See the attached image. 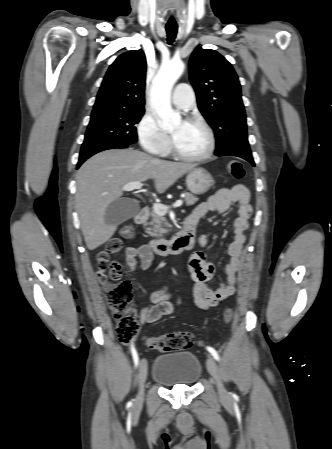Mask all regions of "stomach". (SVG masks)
Returning <instances> with one entry per match:
<instances>
[{"label": "stomach", "instance_id": "1", "mask_svg": "<svg viewBox=\"0 0 332 449\" xmlns=\"http://www.w3.org/2000/svg\"><path fill=\"white\" fill-rule=\"evenodd\" d=\"M187 188L193 194L201 195L206 193L214 184L210 173L204 168H194L189 171L186 177Z\"/></svg>", "mask_w": 332, "mask_h": 449}]
</instances>
